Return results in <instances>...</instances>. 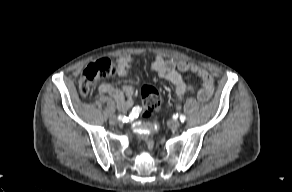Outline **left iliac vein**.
Segmentation results:
<instances>
[{"instance_id": "1", "label": "left iliac vein", "mask_w": 292, "mask_h": 192, "mask_svg": "<svg viewBox=\"0 0 292 192\" xmlns=\"http://www.w3.org/2000/svg\"><path fill=\"white\" fill-rule=\"evenodd\" d=\"M167 124L172 130H176L180 127V122L177 120H168Z\"/></svg>"}]
</instances>
